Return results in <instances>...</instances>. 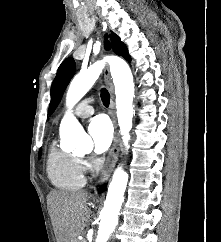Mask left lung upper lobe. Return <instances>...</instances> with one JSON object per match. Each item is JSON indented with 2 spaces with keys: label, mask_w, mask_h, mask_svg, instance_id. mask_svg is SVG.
Wrapping results in <instances>:
<instances>
[{
  "label": "left lung upper lobe",
  "mask_w": 221,
  "mask_h": 242,
  "mask_svg": "<svg viewBox=\"0 0 221 242\" xmlns=\"http://www.w3.org/2000/svg\"><path fill=\"white\" fill-rule=\"evenodd\" d=\"M108 35H106L105 48L109 50L113 49L114 53L123 56L125 59L130 60L127 48L124 43L121 42L120 38L115 34L111 33V42L107 40ZM75 72V62L72 57L67 58L62 62L58 68L57 75L51 86V102L49 105V114H51L57 105L59 104L63 92L73 77Z\"/></svg>",
  "instance_id": "left-lung-upper-lobe-1"
}]
</instances>
